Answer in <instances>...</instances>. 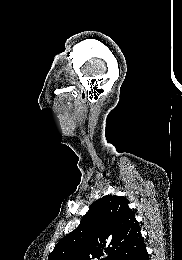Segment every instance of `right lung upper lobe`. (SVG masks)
<instances>
[{
	"instance_id": "cb5924a9",
	"label": "right lung upper lobe",
	"mask_w": 182,
	"mask_h": 260,
	"mask_svg": "<svg viewBox=\"0 0 182 260\" xmlns=\"http://www.w3.org/2000/svg\"><path fill=\"white\" fill-rule=\"evenodd\" d=\"M134 214L122 196L96 200L80 225L55 245L48 260H118L143 241Z\"/></svg>"
}]
</instances>
